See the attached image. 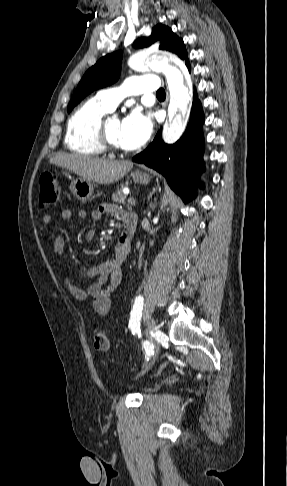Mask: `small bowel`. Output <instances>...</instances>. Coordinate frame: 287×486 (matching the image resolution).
<instances>
[{
    "label": "small bowel",
    "mask_w": 287,
    "mask_h": 486,
    "mask_svg": "<svg viewBox=\"0 0 287 486\" xmlns=\"http://www.w3.org/2000/svg\"><path fill=\"white\" fill-rule=\"evenodd\" d=\"M122 215L123 218L129 214L122 211L118 206L114 204L104 203L92 212V218L94 220H100L104 215ZM87 213L83 209L72 211L70 209H64L61 212V217L64 220H71L76 218L79 220L85 219ZM54 218L51 214H45L43 216V224L46 227L52 226ZM95 235L94 230H89L85 234L86 240L93 239ZM55 252L63 256L66 250V239L64 236L59 235L55 238L53 244ZM129 245L122 248L119 244L116 245L114 254L108 260L86 268L83 273V277L91 282L86 287H81L75 284L69 274L64 277V284L69 293L77 300H85L88 298L93 299V306L98 314L105 316L111 309V296L119 286L122 278V265L124 264L128 253Z\"/></svg>",
    "instance_id": "obj_1"
}]
</instances>
